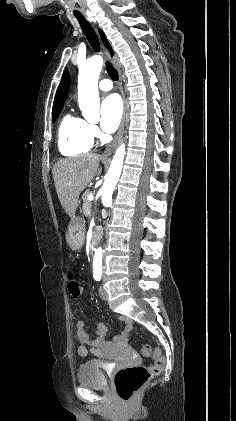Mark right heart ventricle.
Returning <instances> with one entry per match:
<instances>
[{
    "label": "right heart ventricle",
    "mask_w": 236,
    "mask_h": 421,
    "mask_svg": "<svg viewBox=\"0 0 236 421\" xmlns=\"http://www.w3.org/2000/svg\"><path fill=\"white\" fill-rule=\"evenodd\" d=\"M90 123L70 113L66 114L58 127V149L66 157L77 158L93 147Z\"/></svg>",
    "instance_id": "1"
}]
</instances>
